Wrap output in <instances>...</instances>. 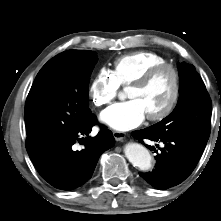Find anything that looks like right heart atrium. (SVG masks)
Masks as SVG:
<instances>
[{"label": "right heart atrium", "instance_id": "obj_1", "mask_svg": "<svg viewBox=\"0 0 221 221\" xmlns=\"http://www.w3.org/2000/svg\"><path fill=\"white\" fill-rule=\"evenodd\" d=\"M120 86L112 74L101 69L89 85V96L97 107H103L113 102L119 93Z\"/></svg>", "mask_w": 221, "mask_h": 221}]
</instances>
